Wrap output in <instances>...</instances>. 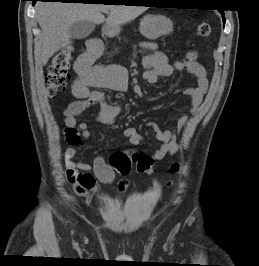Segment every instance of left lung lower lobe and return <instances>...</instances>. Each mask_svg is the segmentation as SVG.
<instances>
[{
    "mask_svg": "<svg viewBox=\"0 0 259 266\" xmlns=\"http://www.w3.org/2000/svg\"><path fill=\"white\" fill-rule=\"evenodd\" d=\"M222 14V17H223V23L225 24V18H224V10H219Z\"/></svg>",
    "mask_w": 259,
    "mask_h": 266,
    "instance_id": "0a47b994",
    "label": "left lung lower lobe"
}]
</instances>
